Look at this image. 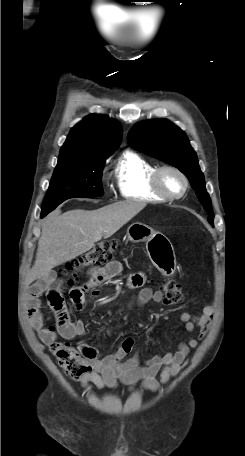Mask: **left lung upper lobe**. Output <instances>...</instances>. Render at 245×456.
<instances>
[{"label": "left lung upper lobe", "mask_w": 245, "mask_h": 456, "mask_svg": "<svg viewBox=\"0 0 245 456\" xmlns=\"http://www.w3.org/2000/svg\"><path fill=\"white\" fill-rule=\"evenodd\" d=\"M128 143L134 149L177 167L190 181L213 225L210 197L205 189L195 151L185 133L167 120H149L136 124L129 131Z\"/></svg>", "instance_id": "obj_1"}]
</instances>
